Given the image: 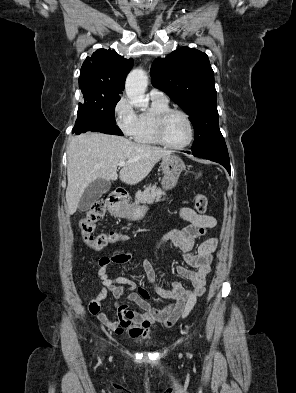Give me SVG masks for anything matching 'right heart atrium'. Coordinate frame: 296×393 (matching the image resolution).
<instances>
[{
	"mask_svg": "<svg viewBox=\"0 0 296 393\" xmlns=\"http://www.w3.org/2000/svg\"><path fill=\"white\" fill-rule=\"evenodd\" d=\"M114 115L121 131L128 137H134L138 125V115L127 97L123 96L117 101L114 106Z\"/></svg>",
	"mask_w": 296,
	"mask_h": 393,
	"instance_id": "obj_1",
	"label": "right heart atrium"
}]
</instances>
